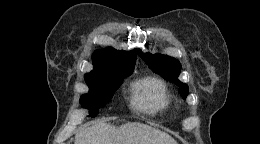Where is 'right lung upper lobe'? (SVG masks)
Wrapping results in <instances>:
<instances>
[{
    "mask_svg": "<svg viewBox=\"0 0 260 144\" xmlns=\"http://www.w3.org/2000/svg\"><path fill=\"white\" fill-rule=\"evenodd\" d=\"M94 69L85 76H103L133 71L137 49L130 52L118 51L113 48L95 51L93 54Z\"/></svg>",
    "mask_w": 260,
    "mask_h": 144,
    "instance_id": "right-lung-upper-lobe-1",
    "label": "right lung upper lobe"
}]
</instances>
